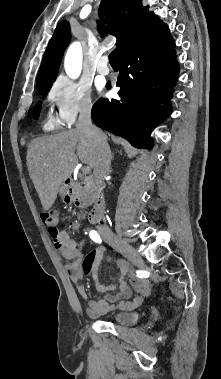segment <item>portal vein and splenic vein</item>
Returning <instances> with one entry per match:
<instances>
[{"instance_id":"portal-vein-and-splenic-vein-1","label":"portal vein and splenic vein","mask_w":221,"mask_h":379,"mask_svg":"<svg viewBox=\"0 0 221 379\" xmlns=\"http://www.w3.org/2000/svg\"><path fill=\"white\" fill-rule=\"evenodd\" d=\"M90 170H91L90 167L86 166V167L82 168V173L83 174H89Z\"/></svg>"}]
</instances>
